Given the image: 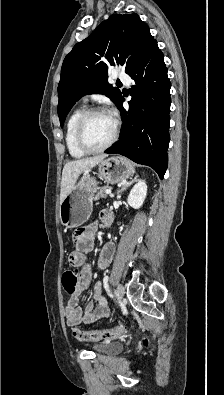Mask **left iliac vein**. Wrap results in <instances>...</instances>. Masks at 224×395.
Returning <instances> with one entry per match:
<instances>
[{"label":"left iliac vein","instance_id":"left-iliac-vein-1","mask_svg":"<svg viewBox=\"0 0 224 395\" xmlns=\"http://www.w3.org/2000/svg\"><path fill=\"white\" fill-rule=\"evenodd\" d=\"M116 294L118 297V301L121 302L123 300V296H124V287L122 284L117 285Z\"/></svg>","mask_w":224,"mask_h":395}]
</instances>
